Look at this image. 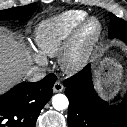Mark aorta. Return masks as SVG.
Masks as SVG:
<instances>
[{
	"mask_svg": "<svg viewBox=\"0 0 127 127\" xmlns=\"http://www.w3.org/2000/svg\"><path fill=\"white\" fill-rule=\"evenodd\" d=\"M52 105L54 109L58 111H62L68 108L69 101L64 94H56L52 98Z\"/></svg>",
	"mask_w": 127,
	"mask_h": 127,
	"instance_id": "obj_1",
	"label": "aorta"
}]
</instances>
